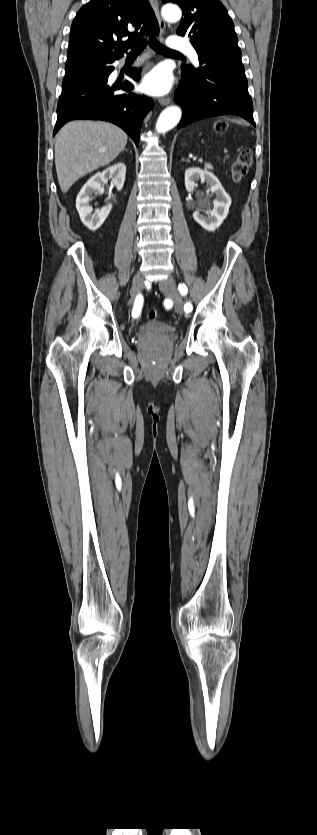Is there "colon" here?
I'll list each match as a JSON object with an SVG mask.
<instances>
[{
    "instance_id": "5ec220e1",
    "label": "colon",
    "mask_w": 317,
    "mask_h": 835,
    "mask_svg": "<svg viewBox=\"0 0 317 835\" xmlns=\"http://www.w3.org/2000/svg\"><path fill=\"white\" fill-rule=\"evenodd\" d=\"M214 129L220 133L225 132L228 129V125L227 123L220 121L215 124ZM252 160L253 153L249 148L241 150L231 165V175L235 182H239L245 177L252 164ZM147 315L150 320H156L159 317L158 311L154 308H150Z\"/></svg>"
}]
</instances>
